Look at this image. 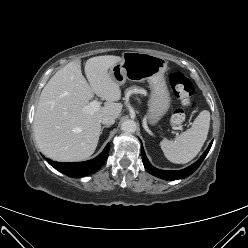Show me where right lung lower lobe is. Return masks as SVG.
I'll use <instances>...</instances> for the list:
<instances>
[{
  "label": "right lung lower lobe",
  "mask_w": 248,
  "mask_h": 248,
  "mask_svg": "<svg viewBox=\"0 0 248 248\" xmlns=\"http://www.w3.org/2000/svg\"><path fill=\"white\" fill-rule=\"evenodd\" d=\"M109 154V144L105 147V149L94 159L84 161V162H76V163H58L46 159V161L53 166L56 170L61 173L69 176V177H83L86 175H90L96 172L98 169L102 167L105 163Z\"/></svg>",
  "instance_id": "obj_1"
}]
</instances>
